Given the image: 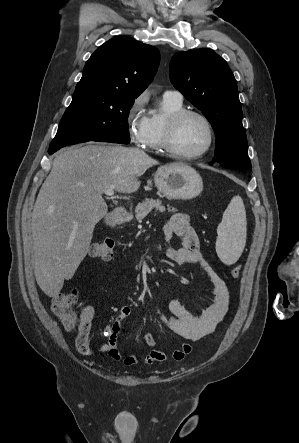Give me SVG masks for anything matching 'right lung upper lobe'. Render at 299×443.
<instances>
[{
	"instance_id": "right-lung-upper-lobe-1",
	"label": "right lung upper lobe",
	"mask_w": 299,
	"mask_h": 443,
	"mask_svg": "<svg viewBox=\"0 0 299 443\" xmlns=\"http://www.w3.org/2000/svg\"><path fill=\"white\" fill-rule=\"evenodd\" d=\"M159 60L154 46L127 36L114 37L88 59L74 92L103 91L136 99L151 83Z\"/></svg>"
}]
</instances>
